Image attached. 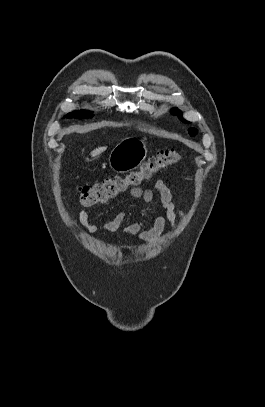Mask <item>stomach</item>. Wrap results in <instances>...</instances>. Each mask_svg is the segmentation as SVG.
Returning <instances> with one entry per match:
<instances>
[{
    "label": "stomach",
    "instance_id": "0dacf381",
    "mask_svg": "<svg viewBox=\"0 0 265 407\" xmlns=\"http://www.w3.org/2000/svg\"><path fill=\"white\" fill-rule=\"evenodd\" d=\"M147 148L144 141L128 139L120 142L109 155L111 169L126 173L136 169L146 158Z\"/></svg>",
    "mask_w": 265,
    "mask_h": 407
}]
</instances>
